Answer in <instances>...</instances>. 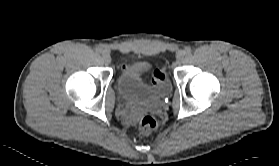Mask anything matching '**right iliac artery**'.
<instances>
[{
  "instance_id": "1",
  "label": "right iliac artery",
  "mask_w": 279,
  "mask_h": 166,
  "mask_svg": "<svg viewBox=\"0 0 279 166\" xmlns=\"http://www.w3.org/2000/svg\"><path fill=\"white\" fill-rule=\"evenodd\" d=\"M95 51H96V53H103V49L102 48H100V47H97L96 49H95Z\"/></svg>"
}]
</instances>
